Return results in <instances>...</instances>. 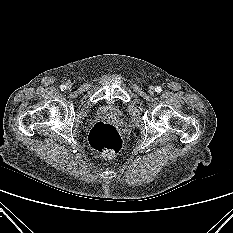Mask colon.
I'll return each instance as SVG.
<instances>
[{"mask_svg": "<svg viewBox=\"0 0 233 233\" xmlns=\"http://www.w3.org/2000/svg\"><path fill=\"white\" fill-rule=\"evenodd\" d=\"M89 145L97 154L106 157L116 155L122 148V137L118 130L110 123L99 121L90 130Z\"/></svg>", "mask_w": 233, "mask_h": 233, "instance_id": "colon-1", "label": "colon"}]
</instances>
